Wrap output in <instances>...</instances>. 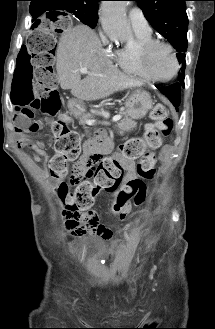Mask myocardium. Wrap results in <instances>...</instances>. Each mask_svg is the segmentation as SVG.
I'll use <instances>...</instances> for the list:
<instances>
[{"label": "myocardium", "instance_id": "myocardium-1", "mask_svg": "<svg viewBox=\"0 0 215 329\" xmlns=\"http://www.w3.org/2000/svg\"><path fill=\"white\" fill-rule=\"evenodd\" d=\"M159 46L168 48L174 59V71L170 76L166 78L156 77L149 70L150 56L153 50ZM139 64L143 75L147 79L155 82H167L172 80L178 74L180 68V63L175 48L169 42L158 40V39H152L151 41L141 46L139 51Z\"/></svg>", "mask_w": 215, "mask_h": 329}]
</instances>
